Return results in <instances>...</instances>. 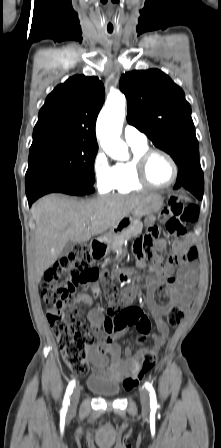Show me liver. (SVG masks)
Returning a JSON list of instances; mask_svg holds the SVG:
<instances>
[{"instance_id":"1","label":"liver","mask_w":221,"mask_h":448,"mask_svg":"<svg viewBox=\"0 0 221 448\" xmlns=\"http://www.w3.org/2000/svg\"><path fill=\"white\" fill-rule=\"evenodd\" d=\"M153 194L100 196L77 201L64 195L50 194L32 207L36 222L35 278L57 260L64 246L72 241L83 243L116 225Z\"/></svg>"}]
</instances>
